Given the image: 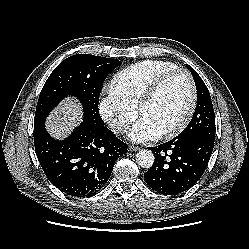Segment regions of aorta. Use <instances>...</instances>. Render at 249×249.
I'll list each match as a JSON object with an SVG mask.
<instances>
[{
    "label": "aorta",
    "instance_id": "1",
    "mask_svg": "<svg viewBox=\"0 0 249 249\" xmlns=\"http://www.w3.org/2000/svg\"><path fill=\"white\" fill-rule=\"evenodd\" d=\"M154 154L150 150H140L136 154V162L142 168H150L154 164Z\"/></svg>",
    "mask_w": 249,
    "mask_h": 249
}]
</instances>
